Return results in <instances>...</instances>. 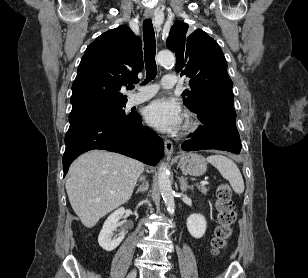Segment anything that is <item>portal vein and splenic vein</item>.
Returning <instances> with one entry per match:
<instances>
[{"label":"portal vein and splenic vein","mask_w":308,"mask_h":278,"mask_svg":"<svg viewBox=\"0 0 308 278\" xmlns=\"http://www.w3.org/2000/svg\"><path fill=\"white\" fill-rule=\"evenodd\" d=\"M200 184L205 185V184H208V182L207 181H201Z\"/></svg>","instance_id":"1"}]
</instances>
